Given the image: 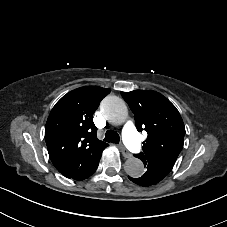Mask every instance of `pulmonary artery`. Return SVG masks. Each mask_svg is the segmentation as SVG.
Here are the masks:
<instances>
[{
	"mask_svg": "<svg viewBox=\"0 0 227 227\" xmlns=\"http://www.w3.org/2000/svg\"><path fill=\"white\" fill-rule=\"evenodd\" d=\"M123 141L125 144L128 145L129 149L134 152L138 153L141 151L142 146L139 142L141 138V134L139 131L134 130V126L132 123L127 122L123 126Z\"/></svg>",
	"mask_w": 227,
	"mask_h": 227,
	"instance_id": "1",
	"label": "pulmonary artery"
}]
</instances>
